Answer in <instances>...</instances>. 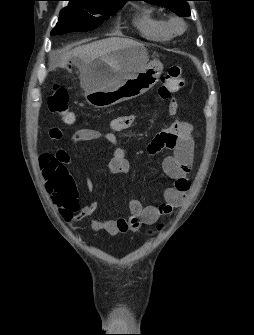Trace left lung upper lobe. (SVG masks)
Segmentation results:
<instances>
[{
    "label": "left lung upper lobe",
    "instance_id": "5c2ea615",
    "mask_svg": "<svg viewBox=\"0 0 254 335\" xmlns=\"http://www.w3.org/2000/svg\"><path fill=\"white\" fill-rule=\"evenodd\" d=\"M152 4H158L170 9L180 17L190 16L189 5L186 1L189 0H143Z\"/></svg>",
    "mask_w": 254,
    "mask_h": 335
}]
</instances>
